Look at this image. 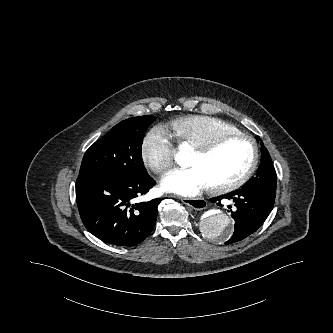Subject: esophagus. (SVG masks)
<instances>
[{
  "mask_svg": "<svg viewBox=\"0 0 333 333\" xmlns=\"http://www.w3.org/2000/svg\"><path fill=\"white\" fill-rule=\"evenodd\" d=\"M181 201L195 210L205 209L207 205L206 201L201 198H181Z\"/></svg>",
  "mask_w": 333,
  "mask_h": 333,
  "instance_id": "esophagus-1",
  "label": "esophagus"
}]
</instances>
